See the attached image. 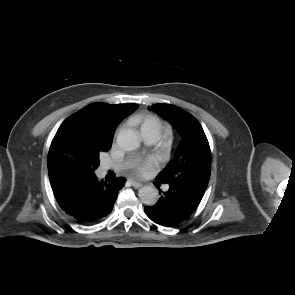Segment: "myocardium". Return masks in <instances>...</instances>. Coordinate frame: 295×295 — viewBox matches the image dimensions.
I'll return each mask as SVG.
<instances>
[{
    "instance_id": "obj_1",
    "label": "myocardium",
    "mask_w": 295,
    "mask_h": 295,
    "mask_svg": "<svg viewBox=\"0 0 295 295\" xmlns=\"http://www.w3.org/2000/svg\"><path fill=\"white\" fill-rule=\"evenodd\" d=\"M178 146V137L172 131H166L160 139L159 151L164 158H169Z\"/></svg>"
}]
</instances>
